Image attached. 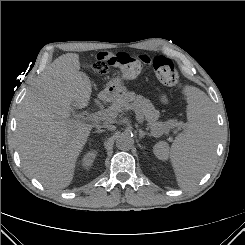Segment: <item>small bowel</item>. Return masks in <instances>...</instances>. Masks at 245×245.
<instances>
[{"instance_id":"small-bowel-1","label":"small bowel","mask_w":245,"mask_h":245,"mask_svg":"<svg viewBox=\"0 0 245 245\" xmlns=\"http://www.w3.org/2000/svg\"><path fill=\"white\" fill-rule=\"evenodd\" d=\"M108 55H111V54H108ZM162 100H163V102H165L166 101L165 97H163Z\"/></svg>"}]
</instances>
